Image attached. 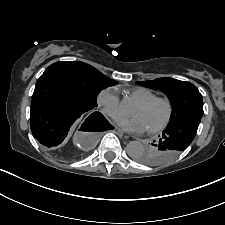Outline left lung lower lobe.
I'll use <instances>...</instances> for the list:
<instances>
[{"label":"left lung lower lobe","mask_w":225,"mask_h":225,"mask_svg":"<svg viewBox=\"0 0 225 225\" xmlns=\"http://www.w3.org/2000/svg\"><path fill=\"white\" fill-rule=\"evenodd\" d=\"M200 121V116H192L167 125L162 135L159 136L160 139L154 142L158 151L150 155V164L167 163L185 150L193 141Z\"/></svg>","instance_id":"0a47b994"}]
</instances>
